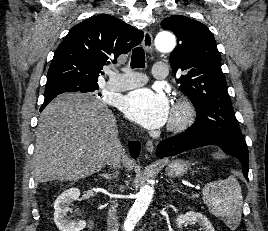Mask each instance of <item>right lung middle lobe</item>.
I'll return each instance as SVG.
<instances>
[{"label":"right lung middle lobe","mask_w":268,"mask_h":231,"mask_svg":"<svg viewBox=\"0 0 268 231\" xmlns=\"http://www.w3.org/2000/svg\"><path fill=\"white\" fill-rule=\"evenodd\" d=\"M98 85H85L74 82H58L45 87V98H55L65 92L93 93L98 90Z\"/></svg>","instance_id":"dd1d6c3e"}]
</instances>
